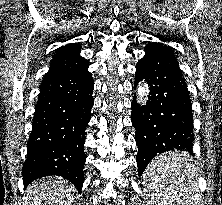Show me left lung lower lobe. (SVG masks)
<instances>
[{"instance_id":"0a47b994","label":"left lung lower lobe","mask_w":222,"mask_h":205,"mask_svg":"<svg viewBox=\"0 0 222 205\" xmlns=\"http://www.w3.org/2000/svg\"><path fill=\"white\" fill-rule=\"evenodd\" d=\"M143 79L149 85V100L141 107L134 97L131 116L140 175L158 153L177 149L192 154L194 141L187 86L174 53L166 45H146L145 56L136 65L135 87Z\"/></svg>"}]
</instances>
